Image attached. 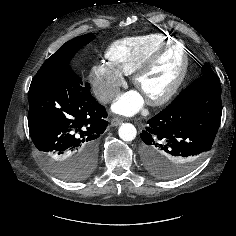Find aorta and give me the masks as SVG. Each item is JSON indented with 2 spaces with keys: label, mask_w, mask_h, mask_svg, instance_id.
<instances>
[{
  "label": "aorta",
  "mask_w": 236,
  "mask_h": 236,
  "mask_svg": "<svg viewBox=\"0 0 236 236\" xmlns=\"http://www.w3.org/2000/svg\"><path fill=\"white\" fill-rule=\"evenodd\" d=\"M119 137L123 141H132L136 138L137 131L134 125L130 123H123L118 130Z\"/></svg>",
  "instance_id": "1"
}]
</instances>
